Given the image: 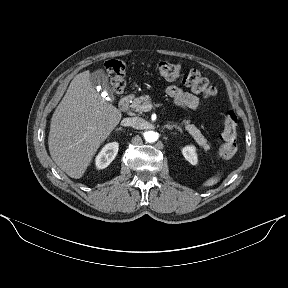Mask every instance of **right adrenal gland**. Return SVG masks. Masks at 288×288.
<instances>
[{
    "label": "right adrenal gland",
    "mask_w": 288,
    "mask_h": 288,
    "mask_svg": "<svg viewBox=\"0 0 288 288\" xmlns=\"http://www.w3.org/2000/svg\"><path fill=\"white\" fill-rule=\"evenodd\" d=\"M117 130H122V128L120 127L119 129H117Z\"/></svg>",
    "instance_id": "2a0ac1e0"
}]
</instances>
